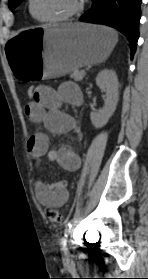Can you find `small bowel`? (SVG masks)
<instances>
[{"label": "small bowel", "instance_id": "obj_1", "mask_svg": "<svg viewBox=\"0 0 148 279\" xmlns=\"http://www.w3.org/2000/svg\"><path fill=\"white\" fill-rule=\"evenodd\" d=\"M38 95L26 104L25 113L33 123H42L45 128L54 134L75 132L77 124L75 119L61 109L62 104L79 105L82 99L77 85L72 82L62 84L57 90L40 85L37 87ZM27 149L34 160L37 173L35 193L38 201L48 207H60L68 200V182L48 183L42 175L44 158L57 162L67 171H75L80 167L81 158L71 147H61L58 150L49 148L48 137L37 133L30 137Z\"/></svg>", "mask_w": 148, "mask_h": 279}]
</instances>
